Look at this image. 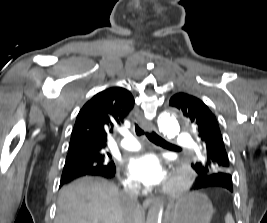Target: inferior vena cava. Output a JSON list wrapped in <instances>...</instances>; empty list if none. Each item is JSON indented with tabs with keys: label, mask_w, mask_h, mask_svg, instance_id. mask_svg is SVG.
<instances>
[{
	"label": "inferior vena cava",
	"mask_w": 267,
	"mask_h": 223,
	"mask_svg": "<svg viewBox=\"0 0 267 223\" xmlns=\"http://www.w3.org/2000/svg\"><path fill=\"white\" fill-rule=\"evenodd\" d=\"M140 185L131 183L125 187L122 193L124 203V223H133V210L138 204Z\"/></svg>",
	"instance_id": "obj_1"
}]
</instances>
